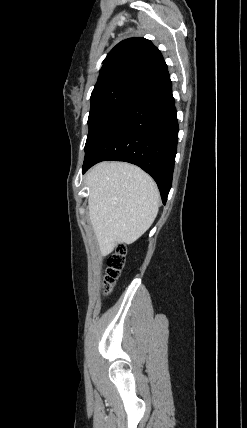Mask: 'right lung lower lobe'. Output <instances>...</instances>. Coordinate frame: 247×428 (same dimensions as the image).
Here are the masks:
<instances>
[{
    "label": "right lung lower lobe",
    "mask_w": 247,
    "mask_h": 428,
    "mask_svg": "<svg viewBox=\"0 0 247 428\" xmlns=\"http://www.w3.org/2000/svg\"><path fill=\"white\" fill-rule=\"evenodd\" d=\"M178 121L169 74L140 92L86 151L82 172L104 160L133 163L150 174L167 201L172 184Z\"/></svg>",
    "instance_id": "98d812e1"
}]
</instances>
